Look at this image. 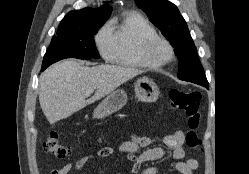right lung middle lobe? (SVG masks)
Returning a JSON list of instances; mask_svg holds the SVG:
<instances>
[{
    "instance_id": "obj_1",
    "label": "right lung middle lobe",
    "mask_w": 249,
    "mask_h": 174,
    "mask_svg": "<svg viewBox=\"0 0 249 174\" xmlns=\"http://www.w3.org/2000/svg\"><path fill=\"white\" fill-rule=\"evenodd\" d=\"M104 22H93L80 28L57 31V35L53 36L50 46L44 55L42 70L65 58L82 60L99 58L95 47L94 35Z\"/></svg>"
}]
</instances>
